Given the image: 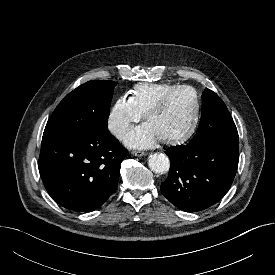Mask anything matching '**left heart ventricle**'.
<instances>
[{
    "instance_id": "left-heart-ventricle-1",
    "label": "left heart ventricle",
    "mask_w": 275,
    "mask_h": 275,
    "mask_svg": "<svg viewBox=\"0 0 275 275\" xmlns=\"http://www.w3.org/2000/svg\"><path fill=\"white\" fill-rule=\"evenodd\" d=\"M194 109L193 92L182 90L171 96L164 109L153 115L147 123L152 126L160 139L175 137L187 130Z\"/></svg>"
}]
</instances>
